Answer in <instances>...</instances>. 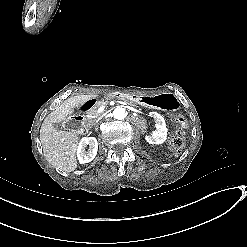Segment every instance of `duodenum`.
I'll return each mask as SVG.
<instances>
[{"label": "duodenum", "mask_w": 247, "mask_h": 247, "mask_svg": "<svg viewBox=\"0 0 247 247\" xmlns=\"http://www.w3.org/2000/svg\"><path fill=\"white\" fill-rule=\"evenodd\" d=\"M111 97L134 101L135 96L131 94H112ZM96 99H88L83 102L77 109L75 115L70 121V126L76 128L78 131L85 130V116L88 112H90L96 106Z\"/></svg>", "instance_id": "1"}]
</instances>
